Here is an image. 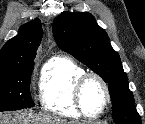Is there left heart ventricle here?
<instances>
[{
    "mask_svg": "<svg viewBox=\"0 0 145 124\" xmlns=\"http://www.w3.org/2000/svg\"><path fill=\"white\" fill-rule=\"evenodd\" d=\"M105 94L99 83L91 80L85 86L83 92V106L88 114L98 113L104 104Z\"/></svg>",
    "mask_w": 145,
    "mask_h": 124,
    "instance_id": "left-heart-ventricle-1",
    "label": "left heart ventricle"
}]
</instances>
